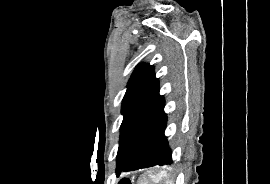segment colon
Masks as SVG:
<instances>
[{
	"label": "colon",
	"mask_w": 270,
	"mask_h": 184,
	"mask_svg": "<svg viewBox=\"0 0 270 184\" xmlns=\"http://www.w3.org/2000/svg\"><path fill=\"white\" fill-rule=\"evenodd\" d=\"M119 184H132V182H131L129 179L124 178V179H122V180L120 181Z\"/></svg>",
	"instance_id": "obj_1"
}]
</instances>
